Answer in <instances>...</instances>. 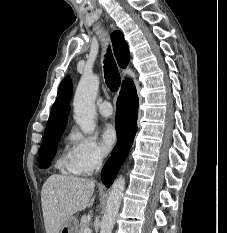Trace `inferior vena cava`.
<instances>
[{
    "label": "inferior vena cava",
    "mask_w": 227,
    "mask_h": 233,
    "mask_svg": "<svg viewBox=\"0 0 227 233\" xmlns=\"http://www.w3.org/2000/svg\"><path fill=\"white\" fill-rule=\"evenodd\" d=\"M101 164H102V155L99 154L96 158V171H99L101 168Z\"/></svg>",
    "instance_id": "obj_1"
}]
</instances>
